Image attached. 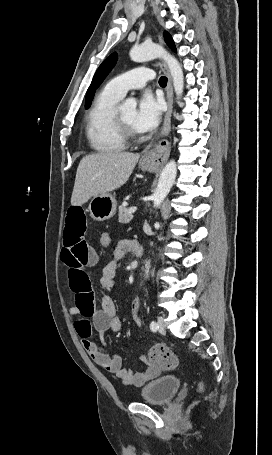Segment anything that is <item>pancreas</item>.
<instances>
[{"label": "pancreas", "instance_id": "1", "mask_svg": "<svg viewBox=\"0 0 272 455\" xmlns=\"http://www.w3.org/2000/svg\"><path fill=\"white\" fill-rule=\"evenodd\" d=\"M132 214L129 213V208L125 206L119 207V222L120 223H129L132 219Z\"/></svg>", "mask_w": 272, "mask_h": 455}]
</instances>
